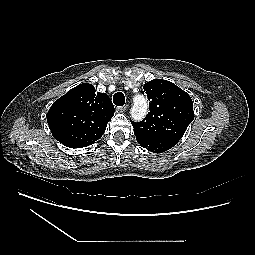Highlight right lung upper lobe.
I'll return each instance as SVG.
<instances>
[{
  "mask_svg": "<svg viewBox=\"0 0 255 255\" xmlns=\"http://www.w3.org/2000/svg\"><path fill=\"white\" fill-rule=\"evenodd\" d=\"M114 115L105 93L93 85L80 84L56 100L47 113L53 137L69 148L87 147L101 138Z\"/></svg>",
  "mask_w": 255,
  "mask_h": 255,
  "instance_id": "right-lung-upper-lobe-1",
  "label": "right lung upper lobe"
}]
</instances>
